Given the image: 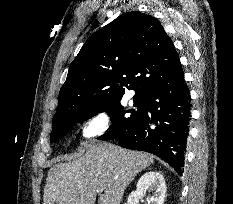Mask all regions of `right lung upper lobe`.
Returning <instances> with one entry per match:
<instances>
[{
    "instance_id": "right-lung-upper-lobe-1",
    "label": "right lung upper lobe",
    "mask_w": 233,
    "mask_h": 204,
    "mask_svg": "<svg viewBox=\"0 0 233 204\" xmlns=\"http://www.w3.org/2000/svg\"><path fill=\"white\" fill-rule=\"evenodd\" d=\"M178 62L171 38L155 17L123 14L90 36L71 63L53 123L121 99L127 90L145 96Z\"/></svg>"
}]
</instances>
